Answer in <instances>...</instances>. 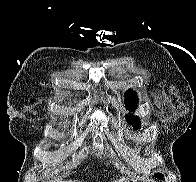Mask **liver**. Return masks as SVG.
Masks as SVG:
<instances>
[{
  "label": "liver",
  "mask_w": 196,
  "mask_h": 182,
  "mask_svg": "<svg viewBox=\"0 0 196 182\" xmlns=\"http://www.w3.org/2000/svg\"><path fill=\"white\" fill-rule=\"evenodd\" d=\"M50 182H62V181H60V180H57V179H54V180H52V181H50ZM65 182H78V181H72V180H69V181H65ZM80 182V181H79ZM114 182H125L124 181V179H120V180H116V181H114Z\"/></svg>",
  "instance_id": "liver-1"
}]
</instances>
